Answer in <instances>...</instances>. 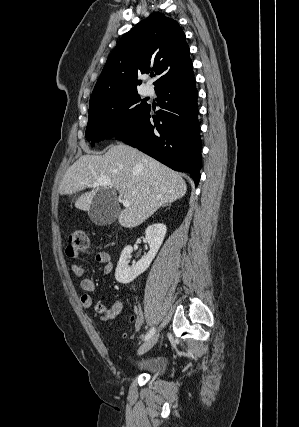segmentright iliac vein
Returning <instances> with one entry per match:
<instances>
[{
    "label": "right iliac vein",
    "instance_id": "obj_1",
    "mask_svg": "<svg viewBox=\"0 0 299 427\" xmlns=\"http://www.w3.org/2000/svg\"><path fill=\"white\" fill-rule=\"evenodd\" d=\"M159 334L153 335L151 338H149L146 342H144L140 348L138 349V355H143L146 352H148L158 341Z\"/></svg>",
    "mask_w": 299,
    "mask_h": 427
}]
</instances>
